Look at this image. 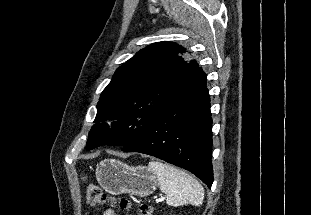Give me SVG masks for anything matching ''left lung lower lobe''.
<instances>
[{
	"mask_svg": "<svg viewBox=\"0 0 311 215\" xmlns=\"http://www.w3.org/2000/svg\"><path fill=\"white\" fill-rule=\"evenodd\" d=\"M211 149L210 98L206 74L198 68L192 80L153 116L122 151L148 154L184 168L211 188Z\"/></svg>",
	"mask_w": 311,
	"mask_h": 215,
	"instance_id": "obj_1",
	"label": "left lung lower lobe"
}]
</instances>
